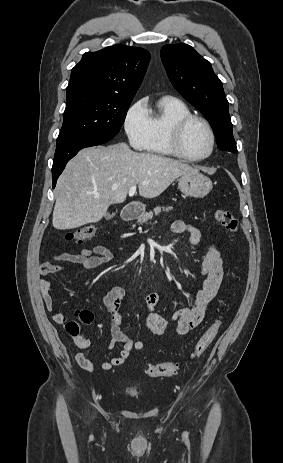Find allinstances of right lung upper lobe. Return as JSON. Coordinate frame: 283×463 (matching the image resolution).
Masks as SVG:
<instances>
[{"mask_svg":"<svg viewBox=\"0 0 283 463\" xmlns=\"http://www.w3.org/2000/svg\"><path fill=\"white\" fill-rule=\"evenodd\" d=\"M149 60L150 53L145 49L125 45L86 52L71 71L66 93L88 92L133 99Z\"/></svg>","mask_w":283,"mask_h":463,"instance_id":"1","label":"right lung upper lobe"}]
</instances>
